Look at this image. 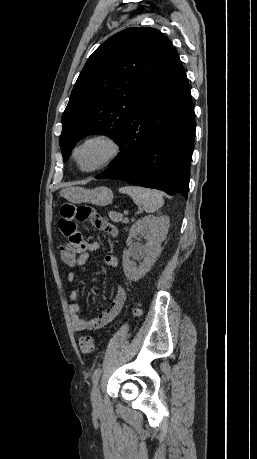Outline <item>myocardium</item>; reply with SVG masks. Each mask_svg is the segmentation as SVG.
I'll return each mask as SVG.
<instances>
[{
    "mask_svg": "<svg viewBox=\"0 0 257 459\" xmlns=\"http://www.w3.org/2000/svg\"><path fill=\"white\" fill-rule=\"evenodd\" d=\"M103 143L108 146L109 152L105 158H103L100 162H98L96 165H94L91 168H82L77 160V152L85 145L90 144V143ZM122 152V146L120 142L111 134L109 133H95L92 135H89L82 140H80L73 148L71 157L72 160L76 166V168L83 172V173H94L97 171H100L109 165H111L114 161L117 160V158L120 156Z\"/></svg>",
    "mask_w": 257,
    "mask_h": 459,
    "instance_id": "1",
    "label": "myocardium"
}]
</instances>
